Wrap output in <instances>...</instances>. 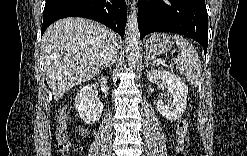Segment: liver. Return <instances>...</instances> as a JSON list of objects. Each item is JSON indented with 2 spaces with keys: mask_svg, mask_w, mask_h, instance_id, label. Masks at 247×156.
I'll use <instances>...</instances> for the list:
<instances>
[{
  "mask_svg": "<svg viewBox=\"0 0 247 156\" xmlns=\"http://www.w3.org/2000/svg\"><path fill=\"white\" fill-rule=\"evenodd\" d=\"M113 41H118L116 34L89 19L65 18L47 28L42 37L44 70L54 101L98 74Z\"/></svg>",
  "mask_w": 247,
  "mask_h": 156,
  "instance_id": "obj_1",
  "label": "liver"
}]
</instances>
